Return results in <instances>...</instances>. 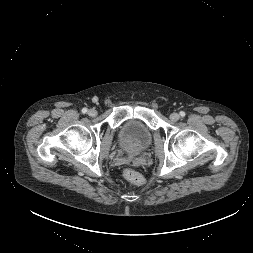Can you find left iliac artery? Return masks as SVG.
Listing matches in <instances>:
<instances>
[{
  "label": "left iliac artery",
  "instance_id": "1",
  "mask_svg": "<svg viewBox=\"0 0 253 253\" xmlns=\"http://www.w3.org/2000/svg\"><path fill=\"white\" fill-rule=\"evenodd\" d=\"M180 116H181V117H184V116H185V112H184V111H181V112H180Z\"/></svg>",
  "mask_w": 253,
  "mask_h": 253
}]
</instances>
